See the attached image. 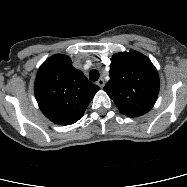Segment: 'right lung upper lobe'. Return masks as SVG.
Wrapping results in <instances>:
<instances>
[{
    "label": "right lung upper lobe",
    "mask_w": 187,
    "mask_h": 187,
    "mask_svg": "<svg viewBox=\"0 0 187 187\" xmlns=\"http://www.w3.org/2000/svg\"><path fill=\"white\" fill-rule=\"evenodd\" d=\"M99 87L72 66L63 54L48 58L39 68L34 92L43 114L55 124L71 125L83 115Z\"/></svg>",
    "instance_id": "cb5924a9"
}]
</instances>
